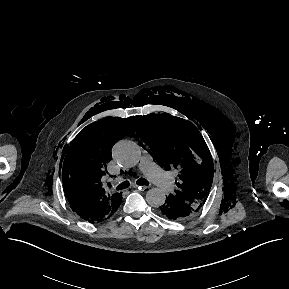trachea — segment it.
Masks as SVG:
<instances>
[{"label":"trachea","mask_w":289,"mask_h":289,"mask_svg":"<svg viewBox=\"0 0 289 289\" xmlns=\"http://www.w3.org/2000/svg\"><path fill=\"white\" fill-rule=\"evenodd\" d=\"M136 183H137L138 185H148V184H149V182H148L146 179H144V178L138 179ZM129 186H130V183H129L128 181H124V182H122L121 184H119V185L117 186V190L126 189V188H128Z\"/></svg>","instance_id":"3493384b"}]
</instances>
